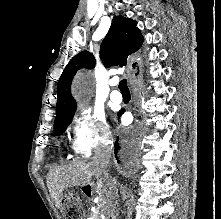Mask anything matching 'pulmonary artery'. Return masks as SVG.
Here are the masks:
<instances>
[{
	"instance_id": "pulmonary-artery-1",
	"label": "pulmonary artery",
	"mask_w": 221,
	"mask_h": 219,
	"mask_svg": "<svg viewBox=\"0 0 221 219\" xmlns=\"http://www.w3.org/2000/svg\"><path fill=\"white\" fill-rule=\"evenodd\" d=\"M118 85V81L117 80H113L111 82V86L112 87H116ZM110 99L112 102L114 103H121L123 100L122 94L120 92H118L117 90H113L110 94Z\"/></svg>"
}]
</instances>
